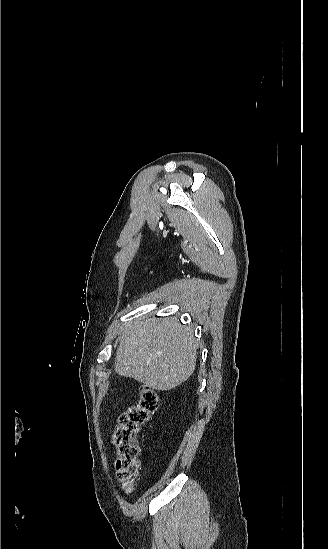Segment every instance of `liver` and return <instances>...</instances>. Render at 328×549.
Here are the masks:
<instances>
[{"mask_svg": "<svg viewBox=\"0 0 328 549\" xmlns=\"http://www.w3.org/2000/svg\"><path fill=\"white\" fill-rule=\"evenodd\" d=\"M115 371L156 391L185 383L196 367L197 345L190 327L177 319L138 321L120 333Z\"/></svg>", "mask_w": 328, "mask_h": 549, "instance_id": "obj_1", "label": "liver"}]
</instances>
